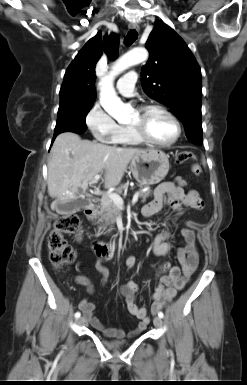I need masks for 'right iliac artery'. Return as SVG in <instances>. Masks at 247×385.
I'll use <instances>...</instances> for the list:
<instances>
[{
    "label": "right iliac artery",
    "mask_w": 247,
    "mask_h": 385,
    "mask_svg": "<svg viewBox=\"0 0 247 385\" xmlns=\"http://www.w3.org/2000/svg\"><path fill=\"white\" fill-rule=\"evenodd\" d=\"M80 315H81L80 312H76V313H75V318H79Z\"/></svg>",
    "instance_id": "right-iliac-artery-1"
}]
</instances>
